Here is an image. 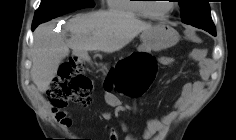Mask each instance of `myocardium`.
Listing matches in <instances>:
<instances>
[{
	"label": "myocardium",
	"instance_id": "1",
	"mask_svg": "<svg viewBox=\"0 0 236 140\" xmlns=\"http://www.w3.org/2000/svg\"><path fill=\"white\" fill-rule=\"evenodd\" d=\"M144 1H148V0H144ZM170 1H173V0H170ZM170 5L171 7L165 13L157 14L152 11L150 4L148 3L142 4L146 16L152 19H158V20L167 18L176 9L175 3L172 2L170 3Z\"/></svg>",
	"mask_w": 236,
	"mask_h": 140
}]
</instances>
